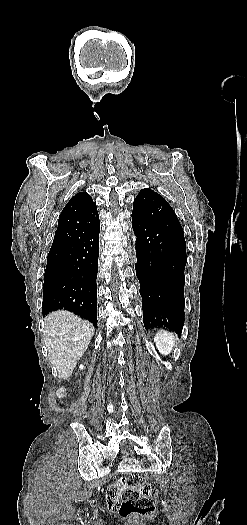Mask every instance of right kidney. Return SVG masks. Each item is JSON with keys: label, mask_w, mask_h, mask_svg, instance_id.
Here are the masks:
<instances>
[{"label": "right kidney", "mask_w": 247, "mask_h": 525, "mask_svg": "<svg viewBox=\"0 0 247 525\" xmlns=\"http://www.w3.org/2000/svg\"><path fill=\"white\" fill-rule=\"evenodd\" d=\"M79 369H81V371H82V369H84L83 365H80Z\"/></svg>", "instance_id": "obj_1"}]
</instances>
